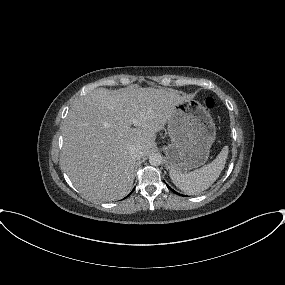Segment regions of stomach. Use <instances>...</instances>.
I'll use <instances>...</instances> for the list:
<instances>
[{
	"instance_id": "obj_1",
	"label": "stomach",
	"mask_w": 285,
	"mask_h": 285,
	"mask_svg": "<svg viewBox=\"0 0 285 285\" xmlns=\"http://www.w3.org/2000/svg\"><path fill=\"white\" fill-rule=\"evenodd\" d=\"M167 130L171 138V144L164 148L168 169L187 172L208 160L216 128L209 111L199 102L177 104Z\"/></svg>"
}]
</instances>
